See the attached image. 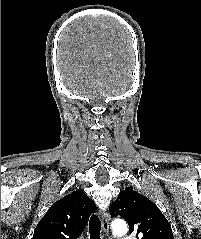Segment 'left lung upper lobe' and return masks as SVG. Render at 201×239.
<instances>
[{"instance_id":"1","label":"left lung upper lobe","mask_w":201,"mask_h":239,"mask_svg":"<svg viewBox=\"0 0 201 239\" xmlns=\"http://www.w3.org/2000/svg\"><path fill=\"white\" fill-rule=\"evenodd\" d=\"M109 210L111 216L127 221L129 234H135L137 239H174L171 226L158 207L133 187L121 191Z\"/></svg>"}]
</instances>
